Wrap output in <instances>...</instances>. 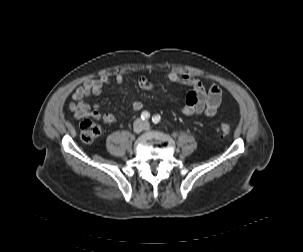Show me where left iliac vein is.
Masks as SVG:
<instances>
[{"label":"left iliac vein","instance_id":"4c4485c4","mask_svg":"<svg viewBox=\"0 0 303 252\" xmlns=\"http://www.w3.org/2000/svg\"><path fill=\"white\" fill-rule=\"evenodd\" d=\"M144 126H145V129H146V130H149L150 125H149V123H148V122H145V123H144Z\"/></svg>","mask_w":303,"mask_h":252}]
</instances>
